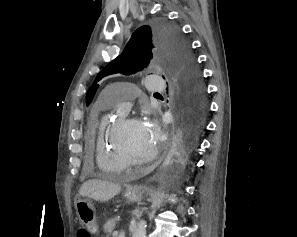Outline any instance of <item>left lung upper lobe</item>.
Listing matches in <instances>:
<instances>
[{
  "label": "left lung upper lobe",
  "instance_id": "1",
  "mask_svg": "<svg viewBox=\"0 0 297 237\" xmlns=\"http://www.w3.org/2000/svg\"><path fill=\"white\" fill-rule=\"evenodd\" d=\"M153 54L165 55L175 62L180 93L199 106L206 104L204 85L189 45L176 27L158 21L153 27L142 26L137 29L122 54L97 75L87 93V105L99 87L98 81L111 74H134L149 64Z\"/></svg>",
  "mask_w": 297,
  "mask_h": 237
}]
</instances>
